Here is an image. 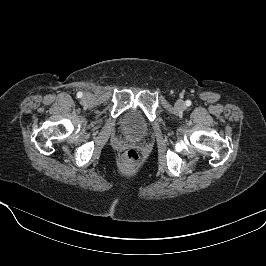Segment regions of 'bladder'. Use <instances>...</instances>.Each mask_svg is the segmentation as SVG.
<instances>
[{
  "label": "bladder",
  "mask_w": 266,
  "mask_h": 266,
  "mask_svg": "<svg viewBox=\"0 0 266 266\" xmlns=\"http://www.w3.org/2000/svg\"><path fill=\"white\" fill-rule=\"evenodd\" d=\"M124 132L132 138H142L148 131V123L138 111H128L122 118Z\"/></svg>",
  "instance_id": "obj_1"
}]
</instances>
